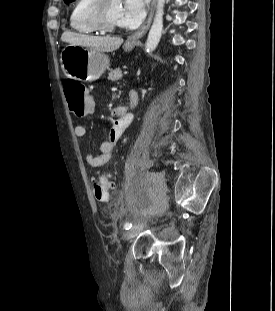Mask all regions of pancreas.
Returning a JSON list of instances; mask_svg holds the SVG:
<instances>
[{"label": "pancreas", "mask_w": 275, "mask_h": 311, "mask_svg": "<svg viewBox=\"0 0 275 311\" xmlns=\"http://www.w3.org/2000/svg\"><path fill=\"white\" fill-rule=\"evenodd\" d=\"M121 77H122L121 69L116 68V69L110 71V73L108 75V80L117 81V80L121 79Z\"/></svg>", "instance_id": "obj_1"}]
</instances>
